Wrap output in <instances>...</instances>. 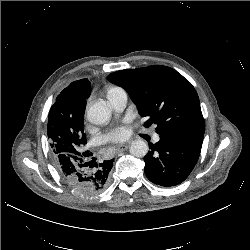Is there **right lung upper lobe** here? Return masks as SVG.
<instances>
[{
	"instance_id": "right-lung-upper-lobe-1",
	"label": "right lung upper lobe",
	"mask_w": 250,
	"mask_h": 250,
	"mask_svg": "<svg viewBox=\"0 0 250 250\" xmlns=\"http://www.w3.org/2000/svg\"><path fill=\"white\" fill-rule=\"evenodd\" d=\"M90 93L91 86L88 79L72 82L57 96L50 109L49 119L56 118L59 122L74 125L79 119L84 118L86 99Z\"/></svg>"
}]
</instances>
